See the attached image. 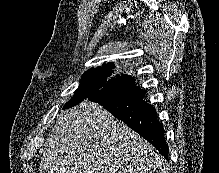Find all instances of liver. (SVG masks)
I'll return each instance as SVG.
<instances>
[{
	"label": "liver",
	"mask_w": 219,
	"mask_h": 173,
	"mask_svg": "<svg viewBox=\"0 0 219 173\" xmlns=\"http://www.w3.org/2000/svg\"><path fill=\"white\" fill-rule=\"evenodd\" d=\"M153 146L97 103L63 112L50 133L39 173H164Z\"/></svg>",
	"instance_id": "obj_1"
}]
</instances>
